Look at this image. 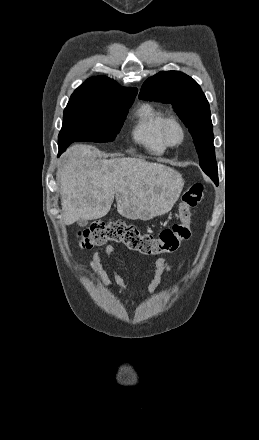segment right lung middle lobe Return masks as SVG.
Segmentation results:
<instances>
[{
  "label": "right lung middle lobe",
  "mask_w": 259,
  "mask_h": 440,
  "mask_svg": "<svg viewBox=\"0 0 259 440\" xmlns=\"http://www.w3.org/2000/svg\"><path fill=\"white\" fill-rule=\"evenodd\" d=\"M133 101L130 98L106 107L69 102L58 136L59 147L66 149L76 141H113Z\"/></svg>",
  "instance_id": "right-lung-middle-lobe-1"
}]
</instances>
